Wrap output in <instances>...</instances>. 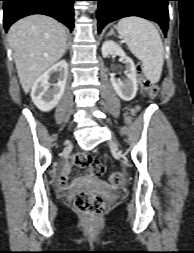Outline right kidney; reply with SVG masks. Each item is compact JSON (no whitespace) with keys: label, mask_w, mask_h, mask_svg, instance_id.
I'll list each match as a JSON object with an SVG mask.
<instances>
[{"label":"right kidney","mask_w":194,"mask_h":253,"mask_svg":"<svg viewBox=\"0 0 194 253\" xmlns=\"http://www.w3.org/2000/svg\"><path fill=\"white\" fill-rule=\"evenodd\" d=\"M55 73H59V77L57 83L52 85L49 79ZM67 76L68 64L61 60L38 77L31 88V98L38 109L48 112L58 104L65 90Z\"/></svg>","instance_id":"1"}]
</instances>
